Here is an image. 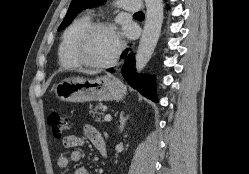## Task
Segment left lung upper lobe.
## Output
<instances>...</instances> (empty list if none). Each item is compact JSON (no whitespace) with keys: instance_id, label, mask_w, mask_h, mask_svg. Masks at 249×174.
Here are the masks:
<instances>
[{"instance_id":"obj_1","label":"left lung upper lobe","mask_w":249,"mask_h":174,"mask_svg":"<svg viewBox=\"0 0 249 174\" xmlns=\"http://www.w3.org/2000/svg\"><path fill=\"white\" fill-rule=\"evenodd\" d=\"M104 0H73L69 6L67 14L58 28V31L67 27L72 20L76 17V15L82 11L83 9L93 7L98 3L103 2Z\"/></svg>"}]
</instances>
